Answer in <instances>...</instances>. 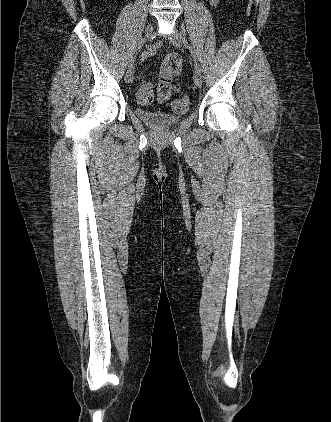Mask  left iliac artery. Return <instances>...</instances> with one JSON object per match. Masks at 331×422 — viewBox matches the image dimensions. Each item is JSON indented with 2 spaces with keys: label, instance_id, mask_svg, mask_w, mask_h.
Wrapping results in <instances>:
<instances>
[{
  "label": "left iliac artery",
  "instance_id": "left-iliac-artery-1",
  "mask_svg": "<svg viewBox=\"0 0 331 422\" xmlns=\"http://www.w3.org/2000/svg\"><path fill=\"white\" fill-rule=\"evenodd\" d=\"M190 52H191L192 57L194 58L196 70L202 71L200 65L197 62L195 51L191 46H190Z\"/></svg>",
  "mask_w": 331,
  "mask_h": 422
}]
</instances>
